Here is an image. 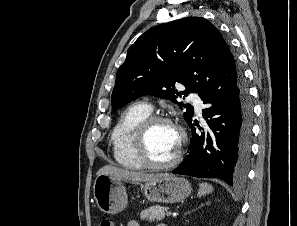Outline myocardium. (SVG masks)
<instances>
[{"instance_id":"f54148a6","label":"myocardium","mask_w":297,"mask_h":226,"mask_svg":"<svg viewBox=\"0 0 297 226\" xmlns=\"http://www.w3.org/2000/svg\"><path fill=\"white\" fill-rule=\"evenodd\" d=\"M157 123H167L173 126L179 135L178 146L174 156L166 162H155L153 161L147 152V136L151 127ZM186 143V133L182 126H180L174 119L160 114H150L144 118L136 127L133 139L132 147L135 156L143 164V166L150 169H168L176 166L182 159L184 147Z\"/></svg>"}]
</instances>
